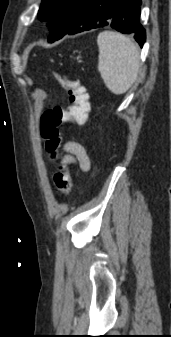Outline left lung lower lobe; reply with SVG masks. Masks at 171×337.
Returning a JSON list of instances; mask_svg holds the SVG:
<instances>
[{"mask_svg": "<svg viewBox=\"0 0 171 337\" xmlns=\"http://www.w3.org/2000/svg\"><path fill=\"white\" fill-rule=\"evenodd\" d=\"M141 0H85L75 25L66 34L111 26L121 33H133L142 47L146 34L139 23Z\"/></svg>", "mask_w": 171, "mask_h": 337, "instance_id": "1", "label": "left lung lower lobe"}]
</instances>
